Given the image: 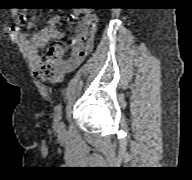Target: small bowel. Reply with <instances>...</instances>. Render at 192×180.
<instances>
[{
  "instance_id": "obj_1",
  "label": "small bowel",
  "mask_w": 192,
  "mask_h": 180,
  "mask_svg": "<svg viewBox=\"0 0 192 180\" xmlns=\"http://www.w3.org/2000/svg\"><path fill=\"white\" fill-rule=\"evenodd\" d=\"M72 16H81V19L76 27V36L70 42L69 56L64 57L65 49L61 45L53 46L36 69V74L45 82L60 81L66 73L76 68L85 59L93 47L96 16L88 9L74 10ZM20 19L31 23L26 12H21ZM60 20L59 15L53 16L45 28L34 34L29 42L32 52H39L50 41L63 39L62 32L57 28Z\"/></svg>"
}]
</instances>
